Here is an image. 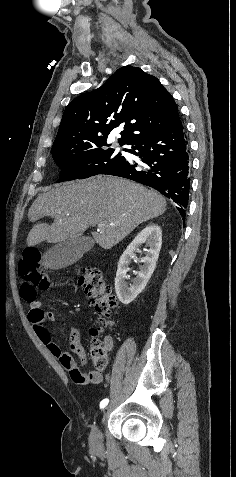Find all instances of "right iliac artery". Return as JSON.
Listing matches in <instances>:
<instances>
[{"mask_svg":"<svg viewBox=\"0 0 236 477\" xmlns=\"http://www.w3.org/2000/svg\"><path fill=\"white\" fill-rule=\"evenodd\" d=\"M109 403V399L105 398L100 402V408L103 409L105 408Z\"/></svg>","mask_w":236,"mask_h":477,"instance_id":"1","label":"right iliac artery"}]
</instances>
